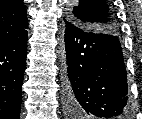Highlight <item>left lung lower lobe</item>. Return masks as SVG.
Wrapping results in <instances>:
<instances>
[{
  "label": "left lung lower lobe",
  "instance_id": "left-lung-lower-lobe-1",
  "mask_svg": "<svg viewBox=\"0 0 142 119\" xmlns=\"http://www.w3.org/2000/svg\"><path fill=\"white\" fill-rule=\"evenodd\" d=\"M64 22L67 107L98 119H126L130 103L118 37L85 30L67 18Z\"/></svg>",
  "mask_w": 142,
  "mask_h": 119
}]
</instances>
